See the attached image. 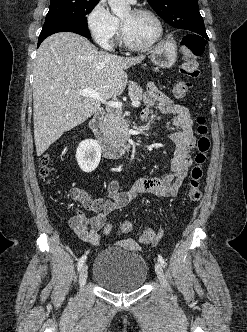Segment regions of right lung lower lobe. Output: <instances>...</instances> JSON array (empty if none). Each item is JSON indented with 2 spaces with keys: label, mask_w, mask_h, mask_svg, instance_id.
<instances>
[{
  "label": "right lung lower lobe",
  "mask_w": 247,
  "mask_h": 332,
  "mask_svg": "<svg viewBox=\"0 0 247 332\" xmlns=\"http://www.w3.org/2000/svg\"><path fill=\"white\" fill-rule=\"evenodd\" d=\"M57 32H74L86 38H91L88 26H84L74 21L53 20L44 23L42 31L39 35L38 46L45 38Z\"/></svg>",
  "instance_id": "obj_1"
}]
</instances>
